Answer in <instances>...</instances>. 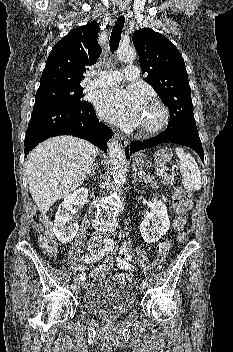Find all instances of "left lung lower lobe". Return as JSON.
Listing matches in <instances>:
<instances>
[{
  "mask_svg": "<svg viewBox=\"0 0 233 352\" xmlns=\"http://www.w3.org/2000/svg\"><path fill=\"white\" fill-rule=\"evenodd\" d=\"M162 143H175L187 146L193 149L204 163V151L197 127H185L179 129L167 127L164 132L153 138L143 141H132L126 148V157H128L129 152L134 153Z\"/></svg>",
  "mask_w": 233,
  "mask_h": 352,
  "instance_id": "left-lung-lower-lobe-1",
  "label": "left lung lower lobe"
}]
</instances>
